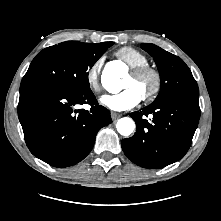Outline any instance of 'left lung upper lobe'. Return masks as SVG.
<instances>
[{
	"label": "left lung upper lobe",
	"instance_id": "1",
	"mask_svg": "<svg viewBox=\"0 0 221 221\" xmlns=\"http://www.w3.org/2000/svg\"><path fill=\"white\" fill-rule=\"evenodd\" d=\"M141 47L154 58L161 79L160 92L152 104L176 96L199 97L197 82L181 58L154 44L143 43Z\"/></svg>",
	"mask_w": 221,
	"mask_h": 221
}]
</instances>
